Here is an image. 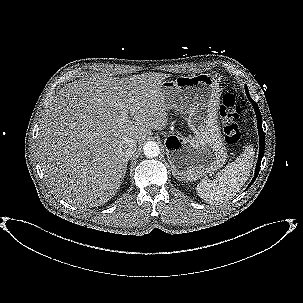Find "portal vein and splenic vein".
I'll return each instance as SVG.
<instances>
[{
    "mask_svg": "<svg viewBox=\"0 0 303 303\" xmlns=\"http://www.w3.org/2000/svg\"><path fill=\"white\" fill-rule=\"evenodd\" d=\"M124 118H127V116H126V115H124Z\"/></svg>",
    "mask_w": 303,
    "mask_h": 303,
    "instance_id": "obj_1",
    "label": "portal vein and splenic vein"
}]
</instances>
